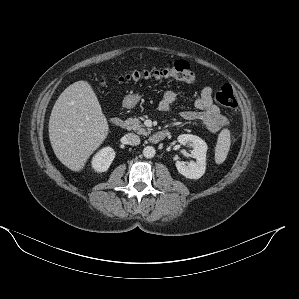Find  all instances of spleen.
Returning a JSON list of instances; mask_svg holds the SVG:
<instances>
[{"mask_svg": "<svg viewBox=\"0 0 299 299\" xmlns=\"http://www.w3.org/2000/svg\"><path fill=\"white\" fill-rule=\"evenodd\" d=\"M230 144V131L228 129H223L218 135L215 147V162L217 164H222L225 161L230 149Z\"/></svg>", "mask_w": 299, "mask_h": 299, "instance_id": "spleen-1", "label": "spleen"}]
</instances>
